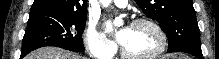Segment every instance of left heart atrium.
<instances>
[{
  "mask_svg": "<svg viewBox=\"0 0 219 59\" xmlns=\"http://www.w3.org/2000/svg\"><path fill=\"white\" fill-rule=\"evenodd\" d=\"M128 32H129V27H125L124 29H122L116 34V38L119 43L122 44L124 42V40L126 39L128 35Z\"/></svg>",
  "mask_w": 219,
  "mask_h": 59,
  "instance_id": "39dd6f15",
  "label": "left heart atrium"
}]
</instances>
